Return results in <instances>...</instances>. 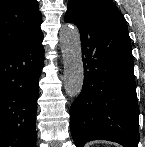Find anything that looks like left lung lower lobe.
Segmentation results:
<instances>
[{
    "label": "left lung lower lobe",
    "instance_id": "1",
    "mask_svg": "<svg viewBox=\"0 0 145 147\" xmlns=\"http://www.w3.org/2000/svg\"><path fill=\"white\" fill-rule=\"evenodd\" d=\"M65 22L79 28L84 64L83 88L70 109L76 147L92 140L137 147L139 107L124 16L108 7L74 4Z\"/></svg>",
    "mask_w": 145,
    "mask_h": 147
}]
</instances>
